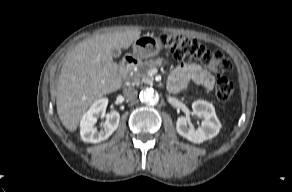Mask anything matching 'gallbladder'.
Segmentation results:
<instances>
[{
	"label": "gallbladder",
	"mask_w": 292,
	"mask_h": 192,
	"mask_svg": "<svg viewBox=\"0 0 292 192\" xmlns=\"http://www.w3.org/2000/svg\"><path fill=\"white\" fill-rule=\"evenodd\" d=\"M121 55V50L118 48H113L112 49V56L114 58H118Z\"/></svg>",
	"instance_id": "1"
}]
</instances>
